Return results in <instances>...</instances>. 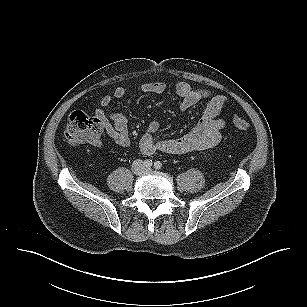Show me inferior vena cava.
Masks as SVG:
<instances>
[{
  "mask_svg": "<svg viewBox=\"0 0 307 307\" xmlns=\"http://www.w3.org/2000/svg\"><path fill=\"white\" fill-rule=\"evenodd\" d=\"M140 168H143V161L140 159H137L133 162L132 164V169L135 173L139 174L140 172L138 171Z\"/></svg>",
  "mask_w": 307,
  "mask_h": 307,
  "instance_id": "inferior-vena-cava-1",
  "label": "inferior vena cava"
}]
</instances>
